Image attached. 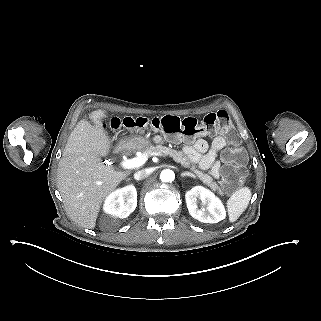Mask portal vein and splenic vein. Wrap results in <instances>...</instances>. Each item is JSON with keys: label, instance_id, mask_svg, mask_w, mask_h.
<instances>
[{"label": "portal vein and splenic vein", "instance_id": "portal-vein-and-splenic-vein-1", "mask_svg": "<svg viewBox=\"0 0 321 321\" xmlns=\"http://www.w3.org/2000/svg\"><path fill=\"white\" fill-rule=\"evenodd\" d=\"M147 156L165 157V154L158 153V152H151V153H147ZM147 156L143 155L141 157H136L133 159L122 160L120 162V166L124 169H132L135 167H139L145 163Z\"/></svg>", "mask_w": 321, "mask_h": 321}]
</instances>
